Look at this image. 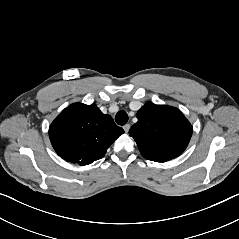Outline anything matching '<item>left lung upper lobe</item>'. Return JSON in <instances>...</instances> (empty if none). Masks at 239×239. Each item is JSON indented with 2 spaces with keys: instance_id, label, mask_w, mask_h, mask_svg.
Segmentation results:
<instances>
[{
  "instance_id": "1",
  "label": "left lung upper lobe",
  "mask_w": 239,
  "mask_h": 239,
  "mask_svg": "<svg viewBox=\"0 0 239 239\" xmlns=\"http://www.w3.org/2000/svg\"><path fill=\"white\" fill-rule=\"evenodd\" d=\"M137 118L129 135L146 159L166 162L181 155L189 144L192 126L179 109L147 102Z\"/></svg>"
}]
</instances>
